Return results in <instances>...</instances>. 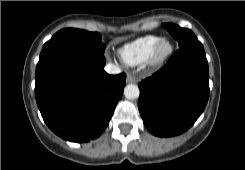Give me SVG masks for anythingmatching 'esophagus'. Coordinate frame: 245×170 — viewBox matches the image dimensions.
<instances>
[{"mask_svg": "<svg viewBox=\"0 0 245 170\" xmlns=\"http://www.w3.org/2000/svg\"><path fill=\"white\" fill-rule=\"evenodd\" d=\"M126 81H127L128 83H135V82H136V78H135L134 75L128 74V75H127V78H126Z\"/></svg>", "mask_w": 245, "mask_h": 170, "instance_id": "1", "label": "esophagus"}]
</instances>
